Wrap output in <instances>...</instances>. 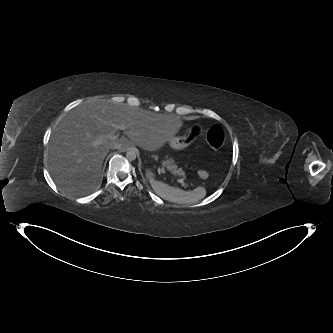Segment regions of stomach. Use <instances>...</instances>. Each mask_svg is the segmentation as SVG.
<instances>
[{
  "label": "stomach",
  "instance_id": "0dacf381",
  "mask_svg": "<svg viewBox=\"0 0 333 333\" xmlns=\"http://www.w3.org/2000/svg\"><path fill=\"white\" fill-rule=\"evenodd\" d=\"M201 129L198 126L192 127L191 131L186 134L184 137H172L169 139V142L173 148L183 149L187 147L192 142L196 141L198 134H200Z\"/></svg>",
  "mask_w": 333,
  "mask_h": 333
}]
</instances>
